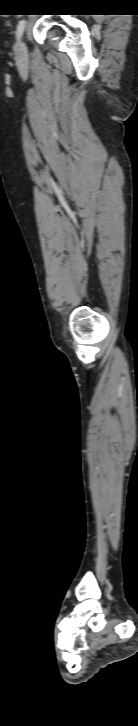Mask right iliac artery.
Segmentation results:
<instances>
[{
	"mask_svg": "<svg viewBox=\"0 0 138 726\" xmlns=\"http://www.w3.org/2000/svg\"><path fill=\"white\" fill-rule=\"evenodd\" d=\"M25 24H26V21L25 20L20 21V23L18 25V28H17V34H16L17 35V39H19L21 37V35H22L23 31H24V28H25Z\"/></svg>",
	"mask_w": 138,
	"mask_h": 726,
	"instance_id": "obj_1",
	"label": "right iliac artery"
}]
</instances>
